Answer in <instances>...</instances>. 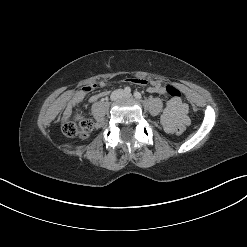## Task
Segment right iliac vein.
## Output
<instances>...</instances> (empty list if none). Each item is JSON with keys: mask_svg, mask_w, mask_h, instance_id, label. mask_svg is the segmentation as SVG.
I'll return each mask as SVG.
<instances>
[{"mask_svg": "<svg viewBox=\"0 0 247 247\" xmlns=\"http://www.w3.org/2000/svg\"><path fill=\"white\" fill-rule=\"evenodd\" d=\"M122 96V93L120 92V91H117L116 93H114L113 95H112V99H118V98H120Z\"/></svg>", "mask_w": 247, "mask_h": 247, "instance_id": "right-iliac-vein-1", "label": "right iliac vein"}]
</instances>
